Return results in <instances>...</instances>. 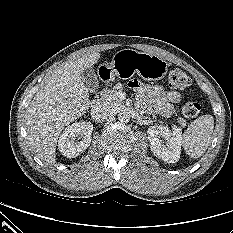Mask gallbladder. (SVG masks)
Masks as SVG:
<instances>
[{
	"label": "gallbladder",
	"mask_w": 233,
	"mask_h": 233,
	"mask_svg": "<svg viewBox=\"0 0 233 233\" xmlns=\"http://www.w3.org/2000/svg\"><path fill=\"white\" fill-rule=\"evenodd\" d=\"M82 82L90 92H95L99 88V81L93 67L86 68L81 74Z\"/></svg>",
	"instance_id": "bac80fb5"
}]
</instances>
